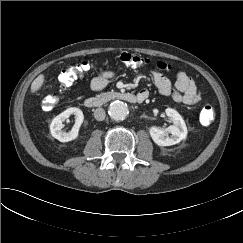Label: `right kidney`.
Here are the masks:
<instances>
[{
    "label": "right kidney",
    "instance_id": "ca27d5eb",
    "mask_svg": "<svg viewBox=\"0 0 243 243\" xmlns=\"http://www.w3.org/2000/svg\"><path fill=\"white\" fill-rule=\"evenodd\" d=\"M70 115H75V125L69 132H63V122L69 118ZM84 115L79 108L71 107L57 115L50 124V131L54 138L60 142H69L78 137V132L83 123Z\"/></svg>",
    "mask_w": 243,
    "mask_h": 243
}]
</instances>
